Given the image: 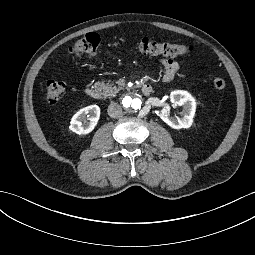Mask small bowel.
<instances>
[{"label":"small bowel","mask_w":255,"mask_h":255,"mask_svg":"<svg viewBox=\"0 0 255 255\" xmlns=\"http://www.w3.org/2000/svg\"><path fill=\"white\" fill-rule=\"evenodd\" d=\"M161 65L163 66V81L170 82L177 75L178 71L181 68L182 63L173 58H163L160 60Z\"/></svg>","instance_id":"small-bowel-1"}]
</instances>
